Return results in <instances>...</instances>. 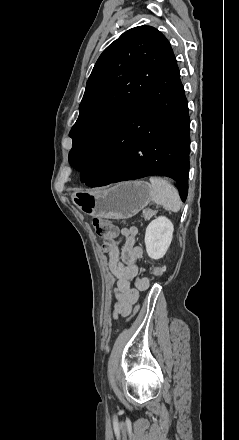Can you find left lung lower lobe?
<instances>
[{
    "mask_svg": "<svg viewBox=\"0 0 239 440\" xmlns=\"http://www.w3.org/2000/svg\"><path fill=\"white\" fill-rule=\"evenodd\" d=\"M190 118L174 54L138 103L110 132L81 171L98 187L149 175L174 179L183 201L188 193Z\"/></svg>",
    "mask_w": 239,
    "mask_h": 440,
    "instance_id": "left-lung-lower-lobe-1",
    "label": "left lung lower lobe"
}]
</instances>
